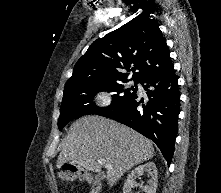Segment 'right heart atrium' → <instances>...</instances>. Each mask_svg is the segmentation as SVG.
Here are the masks:
<instances>
[{"instance_id":"obj_1","label":"right heart atrium","mask_w":221,"mask_h":193,"mask_svg":"<svg viewBox=\"0 0 221 193\" xmlns=\"http://www.w3.org/2000/svg\"><path fill=\"white\" fill-rule=\"evenodd\" d=\"M92 99L97 106L103 109L112 107L115 98L112 91L108 88H99L92 93Z\"/></svg>"}]
</instances>
